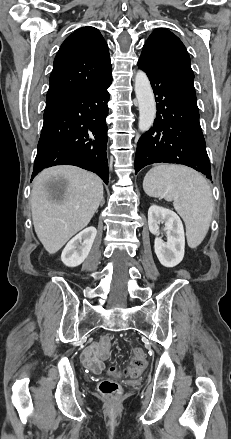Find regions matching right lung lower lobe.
I'll list each match as a JSON object with an SVG mask.
<instances>
[{
	"instance_id": "98d812e1",
	"label": "right lung lower lobe",
	"mask_w": 231,
	"mask_h": 439,
	"mask_svg": "<svg viewBox=\"0 0 231 439\" xmlns=\"http://www.w3.org/2000/svg\"><path fill=\"white\" fill-rule=\"evenodd\" d=\"M112 78L45 109L31 180L55 165H74L108 184L107 88Z\"/></svg>"
}]
</instances>
